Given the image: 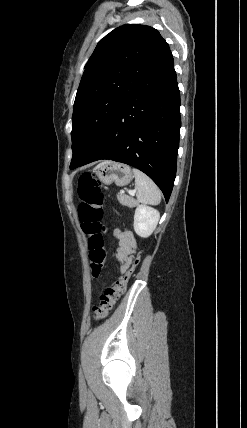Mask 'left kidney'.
I'll list each match as a JSON object with an SVG mask.
<instances>
[{"mask_svg": "<svg viewBox=\"0 0 247 428\" xmlns=\"http://www.w3.org/2000/svg\"><path fill=\"white\" fill-rule=\"evenodd\" d=\"M160 218L159 212L147 205H138L134 214V231L143 238L149 237L155 230Z\"/></svg>", "mask_w": 247, "mask_h": 428, "instance_id": "obj_1", "label": "left kidney"}]
</instances>
